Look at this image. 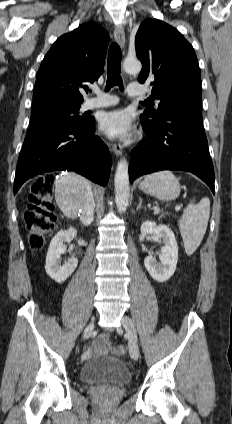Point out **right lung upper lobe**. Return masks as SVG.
Segmentation results:
<instances>
[{
    "instance_id": "cb5924a9",
    "label": "right lung upper lobe",
    "mask_w": 232,
    "mask_h": 424,
    "mask_svg": "<svg viewBox=\"0 0 232 424\" xmlns=\"http://www.w3.org/2000/svg\"><path fill=\"white\" fill-rule=\"evenodd\" d=\"M108 33L90 22L56 40L39 68L32 108L48 104L81 105L84 82H94L104 69Z\"/></svg>"
}]
</instances>
